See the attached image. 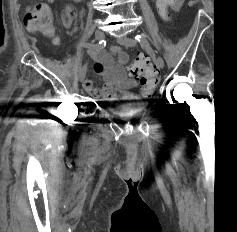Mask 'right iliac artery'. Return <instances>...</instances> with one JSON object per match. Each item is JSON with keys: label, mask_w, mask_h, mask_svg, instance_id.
<instances>
[{"label": "right iliac artery", "mask_w": 237, "mask_h": 232, "mask_svg": "<svg viewBox=\"0 0 237 232\" xmlns=\"http://www.w3.org/2000/svg\"><path fill=\"white\" fill-rule=\"evenodd\" d=\"M105 46H106L105 40H101L97 44H89V43L81 42L77 45V47H88L90 49L97 50V51L103 49Z\"/></svg>", "instance_id": "obj_1"}]
</instances>
